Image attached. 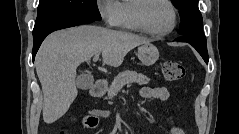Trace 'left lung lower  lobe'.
<instances>
[{"instance_id": "left-lung-lower-lobe-1", "label": "left lung lower lobe", "mask_w": 239, "mask_h": 134, "mask_svg": "<svg viewBox=\"0 0 239 134\" xmlns=\"http://www.w3.org/2000/svg\"><path fill=\"white\" fill-rule=\"evenodd\" d=\"M177 41L190 43L200 53L205 62L208 63V52L205 37L186 35L184 37L177 39Z\"/></svg>"}]
</instances>
